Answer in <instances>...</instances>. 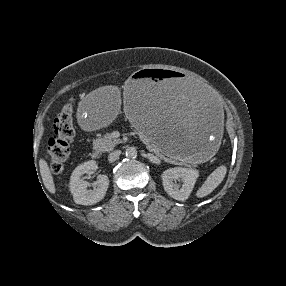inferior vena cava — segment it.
I'll return each instance as SVG.
<instances>
[{"label": "inferior vena cava", "instance_id": "1", "mask_svg": "<svg viewBox=\"0 0 286 286\" xmlns=\"http://www.w3.org/2000/svg\"><path fill=\"white\" fill-rule=\"evenodd\" d=\"M120 154H121L120 150H115V151L111 152L108 156L109 162L112 163V162L116 161L119 158Z\"/></svg>", "mask_w": 286, "mask_h": 286}]
</instances>
